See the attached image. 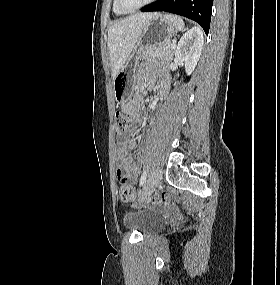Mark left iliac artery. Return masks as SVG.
<instances>
[{
  "instance_id": "1",
  "label": "left iliac artery",
  "mask_w": 280,
  "mask_h": 285,
  "mask_svg": "<svg viewBox=\"0 0 280 285\" xmlns=\"http://www.w3.org/2000/svg\"><path fill=\"white\" fill-rule=\"evenodd\" d=\"M146 178H147V170H144V172L141 175L140 186H142L145 183Z\"/></svg>"
}]
</instances>
